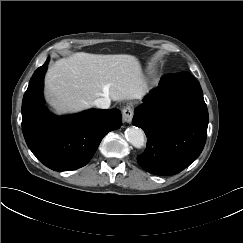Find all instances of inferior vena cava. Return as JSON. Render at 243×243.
<instances>
[{"label": "inferior vena cava", "instance_id": "1", "mask_svg": "<svg viewBox=\"0 0 243 243\" xmlns=\"http://www.w3.org/2000/svg\"><path fill=\"white\" fill-rule=\"evenodd\" d=\"M94 105L100 109H108L110 107L109 98H98L94 101Z\"/></svg>", "mask_w": 243, "mask_h": 243}]
</instances>
